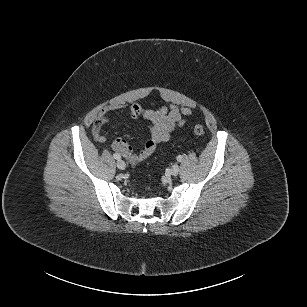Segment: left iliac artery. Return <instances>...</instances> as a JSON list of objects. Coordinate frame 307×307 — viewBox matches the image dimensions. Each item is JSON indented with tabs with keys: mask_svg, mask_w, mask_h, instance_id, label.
<instances>
[{
	"mask_svg": "<svg viewBox=\"0 0 307 307\" xmlns=\"http://www.w3.org/2000/svg\"><path fill=\"white\" fill-rule=\"evenodd\" d=\"M176 159H177V161L180 162V161H182L183 157L181 155H178Z\"/></svg>",
	"mask_w": 307,
	"mask_h": 307,
	"instance_id": "1",
	"label": "left iliac artery"
}]
</instances>
